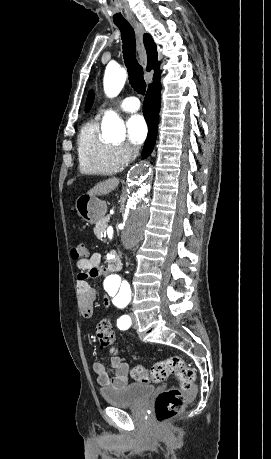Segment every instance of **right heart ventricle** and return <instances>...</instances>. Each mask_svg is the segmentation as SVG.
<instances>
[{
    "label": "right heart ventricle",
    "instance_id": "1",
    "mask_svg": "<svg viewBox=\"0 0 271 459\" xmlns=\"http://www.w3.org/2000/svg\"><path fill=\"white\" fill-rule=\"evenodd\" d=\"M77 153L82 174L109 175L122 167V163L115 156V144L100 137L96 119L89 120L82 126L77 140Z\"/></svg>",
    "mask_w": 271,
    "mask_h": 459
}]
</instances>
